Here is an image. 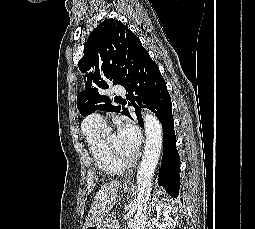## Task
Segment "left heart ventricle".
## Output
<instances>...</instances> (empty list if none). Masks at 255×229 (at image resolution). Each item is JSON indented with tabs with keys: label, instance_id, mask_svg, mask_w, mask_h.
<instances>
[{
	"label": "left heart ventricle",
	"instance_id": "b2bd125f",
	"mask_svg": "<svg viewBox=\"0 0 255 229\" xmlns=\"http://www.w3.org/2000/svg\"><path fill=\"white\" fill-rule=\"evenodd\" d=\"M104 139L108 148L118 157L124 160H127L133 156L130 153H128L125 149L122 148V146L120 145L117 139V136L113 134H109V135H106Z\"/></svg>",
	"mask_w": 255,
	"mask_h": 229
}]
</instances>
